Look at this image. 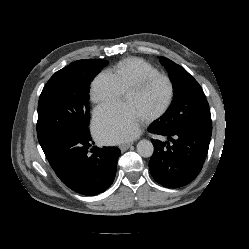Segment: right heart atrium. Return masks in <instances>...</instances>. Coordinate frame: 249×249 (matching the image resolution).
<instances>
[{
	"label": "right heart atrium",
	"mask_w": 249,
	"mask_h": 249,
	"mask_svg": "<svg viewBox=\"0 0 249 249\" xmlns=\"http://www.w3.org/2000/svg\"><path fill=\"white\" fill-rule=\"evenodd\" d=\"M122 91L114 77L107 72L98 74L90 87V99L95 104H105L118 99Z\"/></svg>",
	"instance_id": "right-heart-atrium-1"
}]
</instances>
